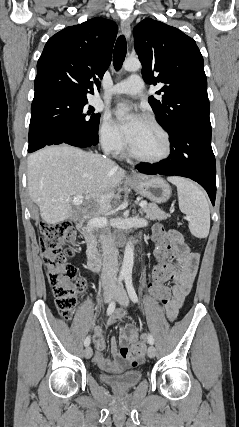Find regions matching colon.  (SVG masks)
<instances>
[{"mask_svg":"<svg viewBox=\"0 0 239 427\" xmlns=\"http://www.w3.org/2000/svg\"><path fill=\"white\" fill-rule=\"evenodd\" d=\"M153 230L149 236L154 244L152 255L151 275L152 280L148 281L146 293L147 301H154L156 304L164 305L170 297V288L167 282H171L173 259L170 258L171 237L164 230L163 222H155ZM41 235L40 247L42 258L46 267L47 278L52 288L56 307L65 320H69L77 303L79 294L86 286L84 277L78 275L74 265L69 263V259L75 253L74 246L77 241V234L69 222L48 223L41 221L38 224ZM124 358L133 365H137L144 359L145 343L144 338L130 347L121 350Z\"/></svg>","mask_w":239,"mask_h":427,"instance_id":"colon-1","label":"colon"}]
</instances>
